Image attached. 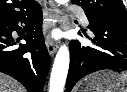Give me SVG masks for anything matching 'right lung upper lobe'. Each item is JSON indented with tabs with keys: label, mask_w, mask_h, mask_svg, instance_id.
<instances>
[{
	"label": "right lung upper lobe",
	"mask_w": 127,
	"mask_h": 92,
	"mask_svg": "<svg viewBox=\"0 0 127 92\" xmlns=\"http://www.w3.org/2000/svg\"><path fill=\"white\" fill-rule=\"evenodd\" d=\"M38 5L35 0H0V24L26 15Z\"/></svg>",
	"instance_id": "cb5924a9"
}]
</instances>
